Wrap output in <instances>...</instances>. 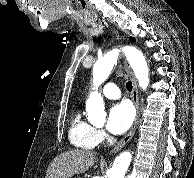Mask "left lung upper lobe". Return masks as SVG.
<instances>
[{"label":"left lung upper lobe","mask_w":194,"mask_h":178,"mask_svg":"<svg viewBox=\"0 0 194 178\" xmlns=\"http://www.w3.org/2000/svg\"><path fill=\"white\" fill-rule=\"evenodd\" d=\"M129 39H130V41H132V42L135 41V39H134L133 37H130Z\"/></svg>","instance_id":"5c2ea615"}]
</instances>
